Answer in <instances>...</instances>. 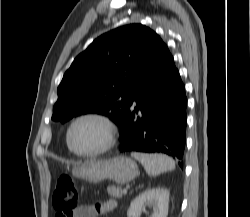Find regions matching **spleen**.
Segmentation results:
<instances>
[{
  "mask_svg": "<svg viewBox=\"0 0 250 217\" xmlns=\"http://www.w3.org/2000/svg\"><path fill=\"white\" fill-rule=\"evenodd\" d=\"M131 156L141 162L150 176H156L175 169V161L164 154H147L132 152Z\"/></svg>",
  "mask_w": 250,
  "mask_h": 217,
  "instance_id": "spleen-1",
  "label": "spleen"
}]
</instances>
